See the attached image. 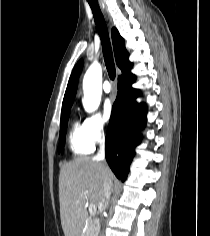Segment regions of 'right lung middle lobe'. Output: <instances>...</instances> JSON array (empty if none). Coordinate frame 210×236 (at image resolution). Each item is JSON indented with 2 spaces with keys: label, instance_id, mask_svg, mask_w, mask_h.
Returning <instances> with one entry per match:
<instances>
[{
  "label": "right lung middle lobe",
  "instance_id": "1",
  "mask_svg": "<svg viewBox=\"0 0 210 236\" xmlns=\"http://www.w3.org/2000/svg\"><path fill=\"white\" fill-rule=\"evenodd\" d=\"M69 111L70 110H66L64 112L61 113V122H60V146L58 149V152H62L63 153V146L65 143V138H66V130H67V124H68V116H69Z\"/></svg>",
  "mask_w": 210,
  "mask_h": 236
}]
</instances>
